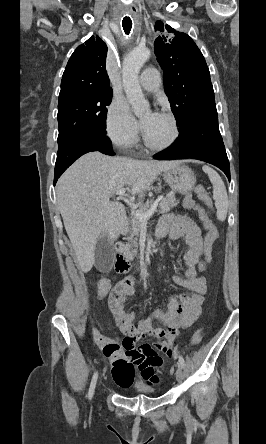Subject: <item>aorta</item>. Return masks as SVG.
I'll return each mask as SVG.
<instances>
[{"label": "aorta", "mask_w": 266, "mask_h": 444, "mask_svg": "<svg viewBox=\"0 0 266 444\" xmlns=\"http://www.w3.org/2000/svg\"><path fill=\"white\" fill-rule=\"evenodd\" d=\"M149 57L150 50L146 47H140L131 51L123 61L122 78L124 91L134 114L138 117L148 112L150 108L138 81L141 67Z\"/></svg>", "instance_id": "762f6f07"}]
</instances>
